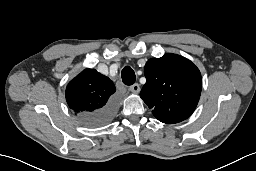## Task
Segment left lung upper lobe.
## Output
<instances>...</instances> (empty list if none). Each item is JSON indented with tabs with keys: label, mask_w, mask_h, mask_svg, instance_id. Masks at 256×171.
I'll return each mask as SVG.
<instances>
[{
	"label": "left lung upper lobe",
	"mask_w": 256,
	"mask_h": 171,
	"mask_svg": "<svg viewBox=\"0 0 256 171\" xmlns=\"http://www.w3.org/2000/svg\"><path fill=\"white\" fill-rule=\"evenodd\" d=\"M144 74L146 83L140 96L159 121L178 123L194 112L202 79L199 69L190 60L168 53L149 59Z\"/></svg>",
	"instance_id": "1"
}]
</instances>
